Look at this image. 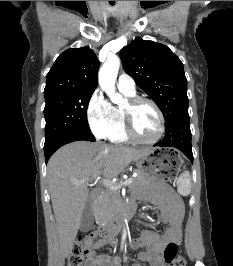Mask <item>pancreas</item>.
<instances>
[{"instance_id": "obj_1", "label": "pancreas", "mask_w": 233, "mask_h": 266, "mask_svg": "<svg viewBox=\"0 0 233 266\" xmlns=\"http://www.w3.org/2000/svg\"><path fill=\"white\" fill-rule=\"evenodd\" d=\"M150 179L142 172H138L137 177L132 178V183L129 185L131 190L147 185ZM120 202V194L118 190L107 189L96 204L97 216L100 219L112 218L118 210Z\"/></svg>"}]
</instances>
